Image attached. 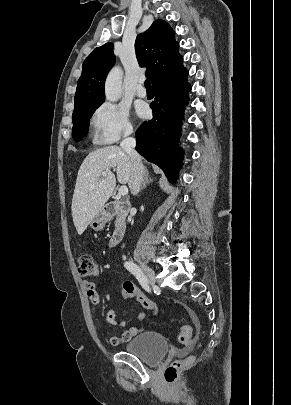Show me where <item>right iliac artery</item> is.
<instances>
[{"label": "right iliac artery", "mask_w": 291, "mask_h": 405, "mask_svg": "<svg viewBox=\"0 0 291 405\" xmlns=\"http://www.w3.org/2000/svg\"><path fill=\"white\" fill-rule=\"evenodd\" d=\"M124 266L136 277L143 289H145L147 292L151 291L148 284V279L136 264L133 262H125Z\"/></svg>", "instance_id": "right-iliac-artery-1"}]
</instances>
